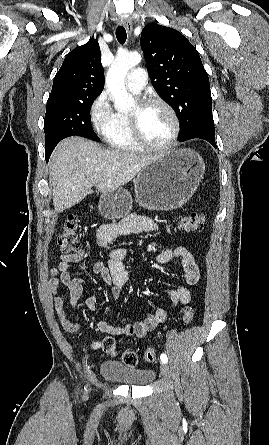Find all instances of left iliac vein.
I'll list each match as a JSON object with an SVG mask.
<instances>
[{"label":"left iliac vein","mask_w":269,"mask_h":445,"mask_svg":"<svg viewBox=\"0 0 269 445\" xmlns=\"http://www.w3.org/2000/svg\"><path fill=\"white\" fill-rule=\"evenodd\" d=\"M160 369H161V374L165 378H167L169 376V367H168V365L166 363H162Z\"/></svg>","instance_id":"obj_1"}]
</instances>
